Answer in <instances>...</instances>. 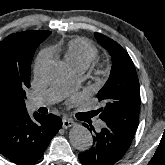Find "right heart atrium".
<instances>
[{
	"mask_svg": "<svg viewBox=\"0 0 165 165\" xmlns=\"http://www.w3.org/2000/svg\"><path fill=\"white\" fill-rule=\"evenodd\" d=\"M50 57V54L47 50H42L36 60H35V63H34V73H39L41 67L47 62V60L49 59Z\"/></svg>",
	"mask_w": 165,
	"mask_h": 165,
	"instance_id": "d8ad5b80",
	"label": "right heart atrium"
}]
</instances>
